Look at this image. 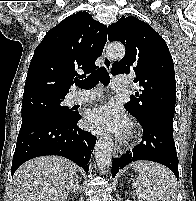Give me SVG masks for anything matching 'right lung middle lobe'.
Instances as JSON below:
<instances>
[{"label": "right lung middle lobe", "instance_id": "1", "mask_svg": "<svg viewBox=\"0 0 196 201\" xmlns=\"http://www.w3.org/2000/svg\"><path fill=\"white\" fill-rule=\"evenodd\" d=\"M65 96L38 94L23 98L22 118L32 115H47L61 120H68L74 111L62 105Z\"/></svg>", "mask_w": 196, "mask_h": 201}]
</instances>
